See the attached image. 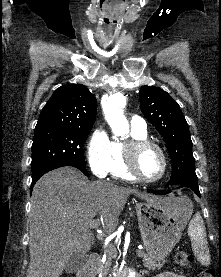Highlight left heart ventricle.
<instances>
[{
    "instance_id": "1",
    "label": "left heart ventricle",
    "mask_w": 221,
    "mask_h": 277,
    "mask_svg": "<svg viewBox=\"0 0 221 277\" xmlns=\"http://www.w3.org/2000/svg\"><path fill=\"white\" fill-rule=\"evenodd\" d=\"M138 168L146 178L158 177L162 171V160L158 151L154 148L144 150L139 156Z\"/></svg>"
}]
</instances>
